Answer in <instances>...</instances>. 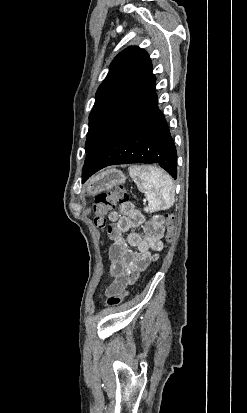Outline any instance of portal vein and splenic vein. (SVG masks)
<instances>
[{"label":"portal vein and splenic vein","instance_id":"obj_1","mask_svg":"<svg viewBox=\"0 0 247 413\" xmlns=\"http://www.w3.org/2000/svg\"><path fill=\"white\" fill-rule=\"evenodd\" d=\"M143 201H146V198H143Z\"/></svg>","mask_w":247,"mask_h":413}]
</instances>
